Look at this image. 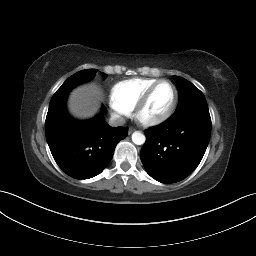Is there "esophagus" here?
<instances>
[{
  "label": "esophagus",
  "mask_w": 256,
  "mask_h": 256,
  "mask_svg": "<svg viewBox=\"0 0 256 256\" xmlns=\"http://www.w3.org/2000/svg\"><path fill=\"white\" fill-rule=\"evenodd\" d=\"M134 130H135L134 128L130 127V128L128 129V133L131 134Z\"/></svg>",
  "instance_id": "obj_1"
}]
</instances>
